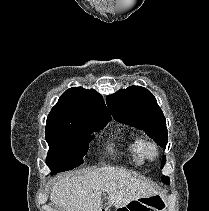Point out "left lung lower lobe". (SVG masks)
I'll use <instances>...</instances> for the list:
<instances>
[{
    "label": "left lung lower lobe",
    "mask_w": 209,
    "mask_h": 211,
    "mask_svg": "<svg viewBox=\"0 0 209 211\" xmlns=\"http://www.w3.org/2000/svg\"><path fill=\"white\" fill-rule=\"evenodd\" d=\"M164 183H166V184H169V179L168 180H166V181H163Z\"/></svg>",
    "instance_id": "0a47b994"
}]
</instances>
